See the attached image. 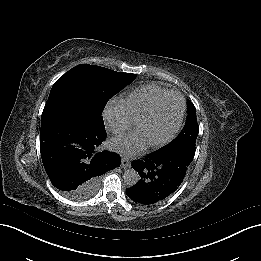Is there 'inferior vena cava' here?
Wrapping results in <instances>:
<instances>
[{"label":"inferior vena cava","instance_id":"obj_1","mask_svg":"<svg viewBox=\"0 0 261 261\" xmlns=\"http://www.w3.org/2000/svg\"><path fill=\"white\" fill-rule=\"evenodd\" d=\"M106 127L109 131H111L114 134H121L123 132V127L121 124L117 123V122H109L106 124Z\"/></svg>","mask_w":261,"mask_h":261}]
</instances>
